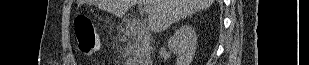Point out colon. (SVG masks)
<instances>
[{"label":"colon","instance_id":"obj_1","mask_svg":"<svg viewBox=\"0 0 309 65\" xmlns=\"http://www.w3.org/2000/svg\"><path fill=\"white\" fill-rule=\"evenodd\" d=\"M74 24L80 51L88 57L94 55L101 44L92 20L86 15H79Z\"/></svg>","mask_w":309,"mask_h":65}]
</instances>
